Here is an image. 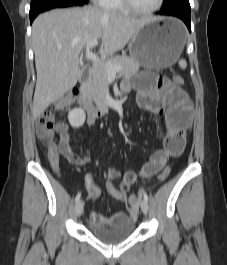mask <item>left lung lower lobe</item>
<instances>
[{
  "label": "left lung lower lobe",
  "instance_id": "1",
  "mask_svg": "<svg viewBox=\"0 0 227 265\" xmlns=\"http://www.w3.org/2000/svg\"><path fill=\"white\" fill-rule=\"evenodd\" d=\"M159 14L162 15H170V16H175L184 21V23L187 25L189 31H191V12H162L160 11Z\"/></svg>",
  "mask_w": 227,
  "mask_h": 265
}]
</instances>
